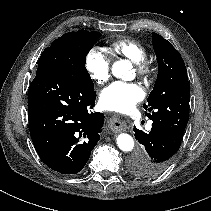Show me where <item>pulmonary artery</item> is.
Instances as JSON below:
<instances>
[{
    "label": "pulmonary artery",
    "instance_id": "obj_1",
    "mask_svg": "<svg viewBox=\"0 0 211 211\" xmlns=\"http://www.w3.org/2000/svg\"><path fill=\"white\" fill-rule=\"evenodd\" d=\"M147 128H148V129L151 128V124H149V125L147 126Z\"/></svg>",
    "mask_w": 211,
    "mask_h": 211
}]
</instances>
